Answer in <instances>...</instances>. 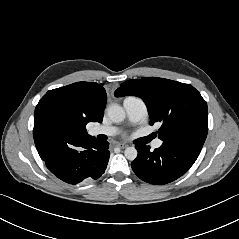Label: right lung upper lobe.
Listing matches in <instances>:
<instances>
[{
    "instance_id": "right-lung-upper-lobe-1",
    "label": "right lung upper lobe",
    "mask_w": 239,
    "mask_h": 239,
    "mask_svg": "<svg viewBox=\"0 0 239 239\" xmlns=\"http://www.w3.org/2000/svg\"><path fill=\"white\" fill-rule=\"evenodd\" d=\"M106 99L103 83L77 82L48 91L35 108L33 137L40 157L58 142L47 134L48 127L55 122L68 125L65 139L91 137L86 124L102 122Z\"/></svg>"
}]
</instances>
